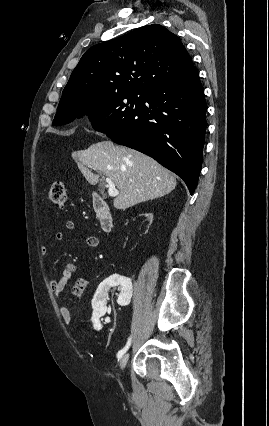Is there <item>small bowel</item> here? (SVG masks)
<instances>
[{"label": "small bowel", "mask_w": 269, "mask_h": 426, "mask_svg": "<svg viewBox=\"0 0 269 426\" xmlns=\"http://www.w3.org/2000/svg\"><path fill=\"white\" fill-rule=\"evenodd\" d=\"M65 228L68 231H72L75 228V225L72 221H67L65 223ZM64 239V233L63 232H57L55 234V240L57 242H60ZM84 243L91 248H96L99 246V239L95 236H86L84 238ZM42 254L46 255L49 251L48 247L43 246L41 248ZM76 270V266L74 263L72 262H67L64 266V268L62 269V271L60 272V275L58 278H51L49 280V286L50 289L53 293V295L56 298L61 297L62 292L65 288V286L67 285L68 281L70 280L72 274L74 273V271ZM88 280L86 278H78L74 285L71 288V293L72 295L79 297L81 295L84 294V292L86 291L87 287H88ZM60 310V314L61 317L63 319V321L67 324L73 323L74 322V317L72 316L70 309L68 308V306L62 304L59 307Z\"/></svg>", "instance_id": "small-bowel-1"}]
</instances>
